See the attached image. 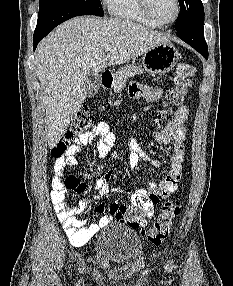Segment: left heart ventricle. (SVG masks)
Here are the masks:
<instances>
[{
  "label": "left heart ventricle",
  "instance_id": "b2bd125f",
  "mask_svg": "<svg viewBox=\"0 0 233 286\" xmlns=\"http://www.w3.org/2000/svg\"><path fill=\"white\" fill-rule=\"evenodd\" d=\"M150 11L158 22L170 21L176 13L175 0H149Z\"/></svg>",
  "mask_w": 233,
  "mask_h": 286
}]
</instances>
